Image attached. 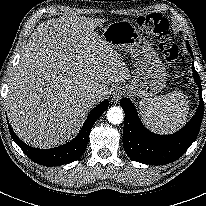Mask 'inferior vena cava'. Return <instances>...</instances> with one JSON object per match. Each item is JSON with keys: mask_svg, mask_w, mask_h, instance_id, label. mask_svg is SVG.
Listing matches in <instances>:
<instances>
[{"mask_svg": "<svg viewBox=\"0 0 206 206\" xmlns=\"http://www.w3.org/2000/svg\"><path fill=\"white\" fill-rule=\"evenodd\" d=\"M102 99V95L100 93H92L90 94V100L92 102H97L100 101Z\"/></svg>", "mask_w": 206, "mask_h": 206, "instance_id": "inferior-vena-cava-1", "label": "inferior vena cava"}]
</instances>
